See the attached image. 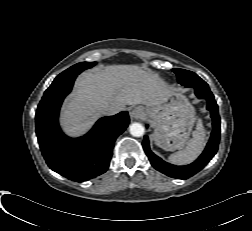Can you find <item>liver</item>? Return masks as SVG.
<instances>
[{
	"label": "liver",
	"mask_w": 252,
	"mask_h": 231,
	"mask_svg": "<svg viewBox=\"0 0 252 231\" xmlns=\"http://www.w3.org/2000/svg\"><path fill=\"white\" fill-rule=\"evenodd\" d=\"M173 91L153 73L137 65H109L84 72L75 83L61 116L64 130L73 136L86 132L105 106L143 104L159 107Z\"/></svg>",
	"instance_id": "liver-1"
}]
</instances>
